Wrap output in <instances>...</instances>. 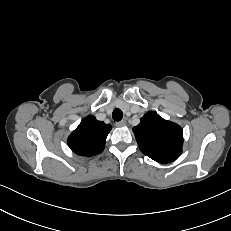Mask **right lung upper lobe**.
Instances as JSON below:
<instances>
[{
    "mask_svg": "<svg viewBox=\"0 0 231 231\" xmlns=\"http://www.w3.org/2000/svg\"><path fill=\"white\" fill-rule=\"evenodd\" d=\"M111 125L87 116L69 136L67 142L70 149L82 156H93L101 153L105 146Z\"/></svg>",
    "mask_w": 231,
    "mask_h": 231,
    "instance_id": "obj_1",
    "label": "right lung upper lobe"
}]
</instances>
